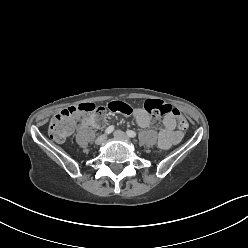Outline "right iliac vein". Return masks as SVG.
Here are the masks:
<instances>
[{
    "label": "right iliac vein",
    "instance_id": "right-iliac-vein-1",
    "mask_svg": "<svg viewBox=\"0 0 248 248\" xmlns=\"http://www.w3.org/2000/svg\"><path fill=\"white\" fill-rule=\"evenodd\" d=\"M107 139V136L106 135H101L99 136L96 140H95V144L96 145H101L103 144Z\"/></svg>",
    "mask_w": 248,
    "mask_h": 248
}]
</instances>
